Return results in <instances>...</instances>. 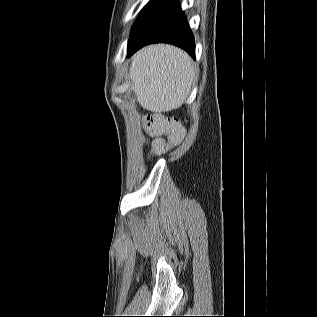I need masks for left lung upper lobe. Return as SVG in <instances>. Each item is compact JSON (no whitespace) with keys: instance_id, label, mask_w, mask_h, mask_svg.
<instances>
[{"instance_id":"1","label":"left lung upper lobe","mask_w":317,"mask_h":317,"mask_svg":"<svg viewBox=\"0 0 317 317\" xmlns=\"http://www.w3.org/2000/svg\"><path fill=\"white\" fill-rule=\"evenodd\" d=\"M168 0H150L142 10L132 29L129 41L140 31L146 22L167 2Z\"/></svg>"}]
</instances>
